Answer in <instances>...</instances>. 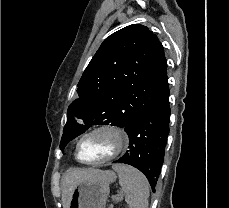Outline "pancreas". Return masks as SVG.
<instances>
[{"mask_svg": "<svg viewBox=\"0 0 229 208\" xmlns=\"http://www.w3.org/2000/svg\"><path fill=\"white\" fill-rule=\"evenodd\" d=\"M109 208H113L112 204H111V206H109Z\"/></svg>", "mask_w": 229, "mask_h": 208, "instance_id": "obj_1", "label": "pancreas"}]
</instances>
